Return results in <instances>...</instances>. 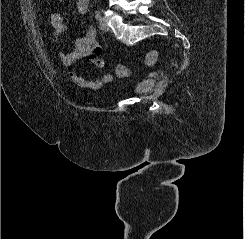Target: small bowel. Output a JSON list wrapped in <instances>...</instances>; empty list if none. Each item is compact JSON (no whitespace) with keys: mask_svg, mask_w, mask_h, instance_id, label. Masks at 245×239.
<instances>
[{"mask_svg":"<svg viewBox=\"0 0 245 239\" xmlns=\"http://www.w3.org/2000/svg\"><path fill=\"white\" fill-rule=\"evenodd\" d=\"M58 1L62 2L63 0ZM76 7L81 15H87L89 12V0H77ZM64 20V15L61 12H53L50 16V22L56 37L66 29ZM101 52L102 46L98 41L96 29L90 26L84 35L75 41L72 51L60 55V60L69 70L68 75L73 83L82 88L98 90L112 83L115 78L114 74L104 73L96 78H85L75 70L74 66L80 60H88L95 68H104L107 61L101 58Z\"/></svg>","mask_w":245,"mask_h":239,"instance_id":"c3829d8e","label":"small bowel"}]
</instances>
